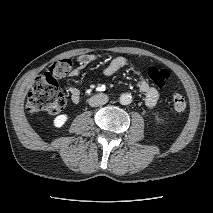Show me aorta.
Wrapping results in <instances>:
<instances>
[{"instance_id": "aorta-1", "label": "aorta", "mask_w": 213, "mask_h": 213, "mask_svg": "<svg viewBox=\"0 0 213 213\" xmlns=\"http://www.w3.org/2000/svg\"><path fill=\"white\" fill-rule=\"evenodd\" d=\"M119 101L122 105H129L132 102V97L128 93L121 94Z\"/></svg>"}]
</instances>
